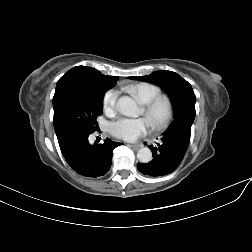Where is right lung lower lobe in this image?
Here are the masks:
<instances>
[{
    "instance_id": "98d812e1",
    "label": "right lung lower lobe",
    "mask_w": 252,
    "mask_h": 252,
    "mask_svg": "<svg viewBox=\"0 0 252 252\" xmlns=\"http://www.w3.org/2000/svg\"><path fill=\"white\" fill-rule=\"evenodd\" d=\"M91 133L69 131L58 136V143L67 163L78 174L97 178L105 175L112 164L113 150L121 145L109 138L103 144L91 145Z\"/></svg>"
}]
</instances>
